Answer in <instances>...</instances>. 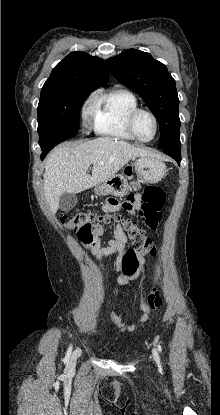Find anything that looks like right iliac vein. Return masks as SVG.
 Returning a JSON list of instances; mask_svg holds the SVG:
<instances>
[{
    "label": "right iliac vein",
    "mask_w": 220,
    "mask_h": 415,
    "mask_svg": "<svg viewBox=\"0 0 220 415\" xmlns=\"http://www.w3.org/2000/svg\"><path fill=\"white\" fill-rule=\"evenodd\" d=\"M78 353H79V350H76V351L74 352V354H73V356H72V358H71V363H74V362H75V359H76V356L78 355Z\"/></svg>",
    "instance_id": "1"
}]
</instances>
